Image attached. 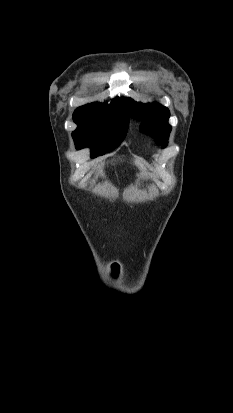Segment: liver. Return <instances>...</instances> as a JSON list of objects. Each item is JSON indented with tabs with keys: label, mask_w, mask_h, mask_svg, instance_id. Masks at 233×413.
<instances>
[{
	"label": "liver",
	"mask_w": 233,
	"mask_h": 413,
	"mask_svg": "<svg viewBox=\"0 0 233 413\" xmlns=\"http://www.w3.org/2000/svg\"><path fill=\"white\" fill-rule=\"evenodd\" d=\"M136 164L140 167L142 171H145L143 164H141L139 161H136Z\"/></svg>",
	"instance_id": "6515ba94"
}]
</instances>
